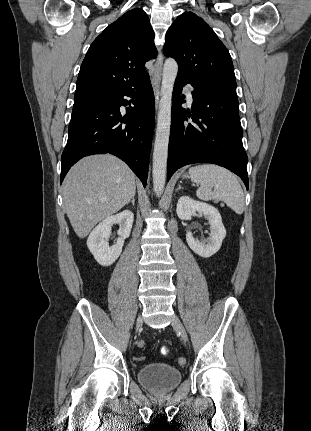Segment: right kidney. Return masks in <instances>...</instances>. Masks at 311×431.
Here are the masks:
<instances>
[{"label":"right kidney","instance_id":"right-kidney-1","mask_svg":"<svg viewBox=\"0 0 311 431\" xmlns=\"http://www.w3.org/2000/svg\"><path fill=\"white\" fill-rule=\"evenodd\" d=\"M133 219L134 214L130 210H124L116 216L106 217L92 229L87 239V245L100 265H111L119 257L124 241L130 235ZM113 223H119L118 235L120 237L114 245H109L107 237L111 233Z\"/></svg>","mask_w":311,"mask_h":431}]
</instances>
